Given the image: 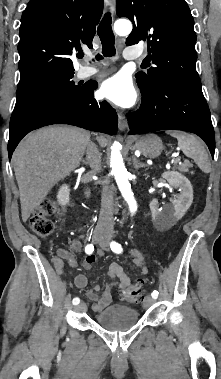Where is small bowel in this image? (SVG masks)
I'll return each instance as SVG.
<instances>
[{
	"label": "small bowel",
	"instance_id": "c3829d8e",
	"mask_svg": "<svg viewBox=\"0 0 221 379\" xmlns=\"http://www.w3.org/2000/svg\"><path fill=\"white\" fill-rule=\"evenodd\" d=\"M101 254V253H100ZM133 262L141 275H145L148 272V266L144 260V257L136 250L132 251ZM66 260L72 267H77V261L74 256L67 250L59 251V258L54 260V266L56 270L61 273L63 269V261ZM95 262V256L88 254L83 262V267L89 270ZM109 282L104 288L101 295L98 293L101 291L100 285H95L93 289L86 292V297L92 302V308L95 312H100L112 301V291L114 289L123 292L130 285V278L124 272L122 266L118 263H112L108 269ZM74 283L78 288H84L87 285V278L83 274H78L74 278Z\"/></svg>",
	"mask_w": 221,
	"mask_h": 379
}]
</instances>
